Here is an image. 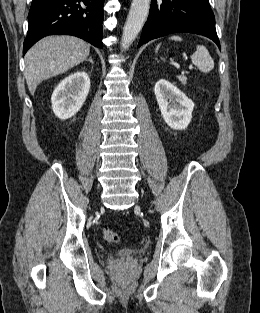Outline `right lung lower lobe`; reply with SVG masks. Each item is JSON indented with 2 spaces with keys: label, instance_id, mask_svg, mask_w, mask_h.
I'll use <instances>...</instances> for the list:
<instances>
[{
  "label": "right lung lower lobe",
  "instance_id": "right-lung-lower-lobe-1",
  "mask_svg": "<svg viewBox=\"0 0 260 313\" xmlns=\"http://www.w3.org/2000/svg\"><path fill=\"white\" fill-rule=\"evenodd\" d=\"M104 0H33L23 54L52 34L74 35L102 48Z\"/></svg>",
  "mask_w": 260,
  "mask_h": 313
}]
</instances>
